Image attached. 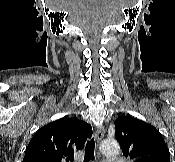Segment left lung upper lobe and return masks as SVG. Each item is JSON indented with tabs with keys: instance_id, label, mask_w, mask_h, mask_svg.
Returning a JSON list of instances; mask_svg holds the SVG:
<instances>
[{
	"instance_id": "obj_1",
	"label": "left lung upper lobe",
	"mask_w": 175,
	"mask_h": 162,
	"mask_svg": "<svg viewBox=\"0 0 175 162\" xmlns=\"http://www.w3.org/2000/svg\"><path fill=\"white\" fill-rule=\"evenodd\" d=\"M114 124L126 158L133 162H170L169 149L154 126L132 116H123Z\"/></svg>"
}]
</instances>
